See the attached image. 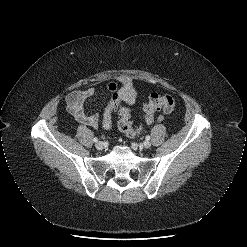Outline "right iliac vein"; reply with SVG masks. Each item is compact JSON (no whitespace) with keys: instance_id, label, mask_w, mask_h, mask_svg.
Instances as JSON below:
<instances>
[{"instance_id":"63e3f726","label":"right iliac vein","mask_w":247,"mask_h":247,"mask_svg":"<svg viewBox=\"0 0 247 247\" xmlns=\"http://www.w3.org/2000/svg\"><path fill=\"white\" fill-rule=\"evenodd\" d=\"M95 146H96V148H97L98 150H103L104 147H105V144H104L102 141H99V142L96 143Z\"/></svg>"}]
</instances>
